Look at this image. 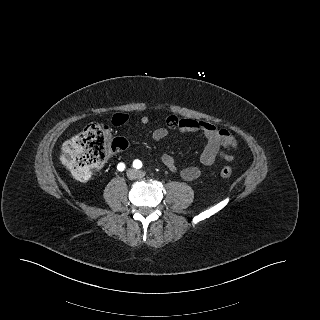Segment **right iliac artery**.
<instances>
[{"label": "right iliac artery", "instance_id": "obj_1", "mask_svg": "<svg viewBox=\"0 0 320 320\" xmlns=\"http://www.w3.org/2000/svg\"><path fill=\"white\" fill-rule=\"evenodd\" d=\"M117 169H118L119 171H123V170L125 169V164H124V163H119V164L117 165Z\"/></svg>", "mask_w": 320, "mask_h": 320}]
</instances>
